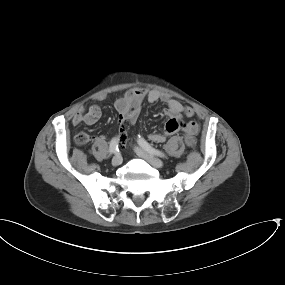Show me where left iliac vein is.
Returning <instances> with one entry per match:
<instances>
[{"instance_id":"obj_1","label":"left iliac vein","mask_w":285,"mask_h":285,"mask_svg":"<svg viewBox=\"0 0 285 285\" xmlns=\"http://www.w3.org/2000/svg\"><path fill=\"white\" fill-rule=\"evenodd\" d=\"M136 154L140 156L141 158L145 159L148 163H150L152 166L156 168L163 167V162L159 158L155 157L153 154L149 153L142 147H135L134 148Z\"/></svg>"}]
</instances>
